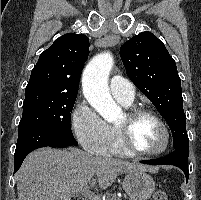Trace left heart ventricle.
Here are the masks:
<instances>
[{
    "mask_svg": "<svg viewBox=\"0 0 201 200\" xmlns=\"http://www.w3.org/2000/svg\"><path fill=\"white\" fill-rule=\"evenodd\" d=\"M126 120V116H124L118 125L125 124ZM131 139L137 149L151 151L162 146L164 135L160 126L153 119L144 117L132 127Z\"/></svg>",
    "mask_w": 201,
    "mask_h": 200,
    "instance_id": "left-heart-ventricle-1",
    "label": "left heart ventricle"
}]
</instances>
